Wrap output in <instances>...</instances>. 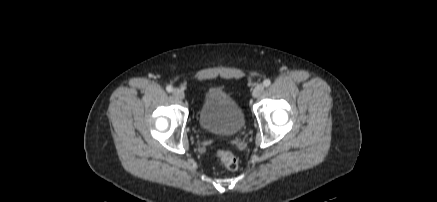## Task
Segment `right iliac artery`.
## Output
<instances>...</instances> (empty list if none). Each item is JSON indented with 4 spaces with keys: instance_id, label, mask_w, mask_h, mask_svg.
<instances>
[{
    "instance_id": "82829eb1",
    "label": "right iliac artery",
    "mask_w": 437,
    "mask_h": 202,
    "mask_svg": "<svg viewBox=\"0 0 437 202\" xmlns=\"http://www.w3.org/2000/svg\"><path fill=\"white\" fill-rule=\"evenodd\" d=\"M166 90H167L168 92H172V91H173V88H172V86L168 85V86L166 87Z\"/></svg>"
}]
</instances>
